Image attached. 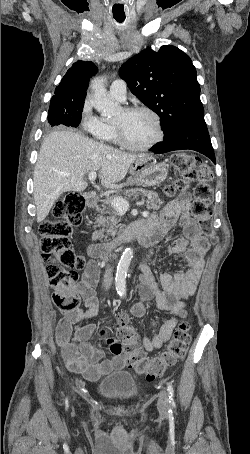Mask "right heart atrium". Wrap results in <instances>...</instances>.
<instances>
[{
    "mask_svg": "<svg viewBox=\"0 0 250 454\" xmlns=\"http://www.w3.org/2000/svg\"><path fill=\"white\" fill-rule=\"evenodd\" d=\"M81 125L84 131L95 136L98 135L102 128L101 120L93 114L90 103L88 101L84 103V106L82 108Z\"/></svg>",
    "mask_w": 250,
    "mask_h": 454,
    "instance_id": "1",
    "label": "right heart atrium"
}]
</instances>
